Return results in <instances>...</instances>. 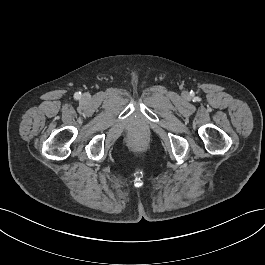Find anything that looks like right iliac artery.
<instances>
[{
    "mask_svg": "<svg viewBox=\"0 0 265 265\" xmlns=\"http://www.w3.org/2000/svg\"><path fill=\"white\" fill-rule=\"evenodd\" d=\"M80 96H81V93L79 92H77V93H75V95H74V97L76 98V99H79L80 98Z\"/></svg>",
    "mask_w": 265,
    "mask_h": 265,
    "instance_id": "right-iliac-artery-1",
    "label": "right iliac artery"
}]
</instances>
